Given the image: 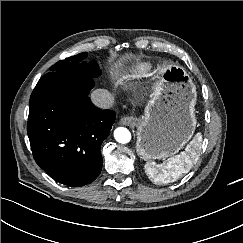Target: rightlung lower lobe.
Wrapping results in <instances>:
<instances>
[{
    "instance_id": "1",
    "label": "right lung lower lobe",
    "mask_w": 243,
    "mask_h": 243,
    "mask_svg": "<svg viewBox=\"0 0 243 243\" xmlns=\"http://www.w3.org/2000/svg\"><path fill=\"white\" fill-rule=\"evenodd\" d=\"M92 78H41L29 104L27 133L36 163L54 180L78 187L102 169L100 146L115 113L90 101Z\"/></svg>"
}]
</instances>
